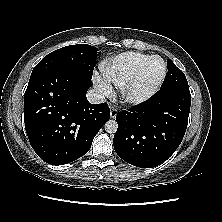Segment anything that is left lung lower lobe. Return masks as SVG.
Instances as JSON below:
<instances>
[{
    "label": "left lung lower lobe",
    "mask_w": 222,
    "mask_h": 222,
    "mask_svg": "<svg viewBox=\"0 0 222 222\" xmlns=\"http://www.w3.org/2000/svg\"><path fill=\"white\" fill-rule=\"evenodd\" d=\"M191 105L189 87L162 88L149 100L119 112L113 138L116 153L141 168L158 166L180 145Z\"/></svg>",
    "instance_id": "obj_1"
}]
</instances>
